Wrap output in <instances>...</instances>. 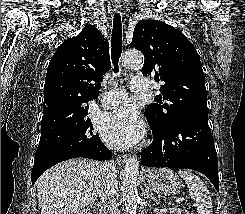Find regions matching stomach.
<instances>
[{"instance_id":"0dacf381","label":"stomach","mask_w":245,"mask_h":214,"mask_svg":"<svg viewBox=\"0 0 245 214\" xmlns=\"http://www.w3.org/2000/svg\"><path fill=\"white\" fill-rule=\"evenodd\" d=\"M144 178L153 191L164 195L175 194L183 187L181 179L168 168L149 169Z\"/></svg>"}]
</instances>
